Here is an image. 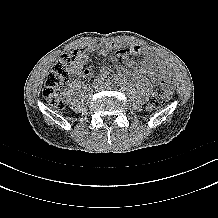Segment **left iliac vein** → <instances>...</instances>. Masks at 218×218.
Here are the masks:
<instances>
[{
	"instance_id": "4c4485c4",
	"label": "left iliac vein",
	"mask_w": 218,
	"mask_h": 218,
	"mask_svg": "<svg viewBox=\"0 0 218 218\" xmlns=\"http://www.w3.org/2000/svg\"><path fill=\"white\" fill-rule=\"evenodd\" d=\"M103 87L105 88V89H110L111 87H110V85L109 84H105V85H103Z\"/></svg>"
}]
</instances>
